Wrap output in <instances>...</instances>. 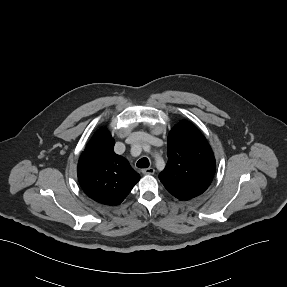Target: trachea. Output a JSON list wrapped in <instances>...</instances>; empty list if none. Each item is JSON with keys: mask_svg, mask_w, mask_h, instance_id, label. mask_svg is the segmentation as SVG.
<instances>
[{"mask_svg": "<svg viewBox=\"0 0 287 287\" xmlns=\"http://www.w3.org/2000/svg\"><path fill=\"white\" fill-rule=\"evenodd\" d=\"M149 165H150L149 160L147 158H145V157L141 158L136 164V166L138 168H148Z\"/></svg>", "mask_w": 287, "mask_h": 287, "instance_id": "trachea-1", "label": "trachea"}]
</instances>
